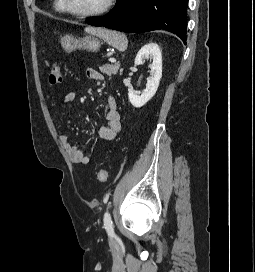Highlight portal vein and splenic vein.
Listing matches in <instances>:
<instances>
[{
	"instance_id": "1",
	"label": "portal vein and splenic vein",
	"mask_w": 255,
	"mask_h": 272,
	"mask_svg": "<svg viewBox=\"0 0 255 272\" xmlns=\"http://www.w3.org/2000/svg\"><path fill=\"white\" fill-rule=\"evenodd\" d=\"M111 61H112V62H116V60H115V59H112Z\"/></svg>"
}]
</instances>
